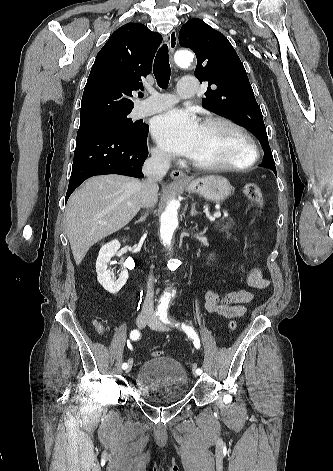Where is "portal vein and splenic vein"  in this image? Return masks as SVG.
Instances as JSON below:
<instances>
[{
	"instance_id": "portal-vein-and-splenic-vein-1",
	"label": "portal vein and splenic vein",
	"mask_w": 333,
	"mask_h": 471,
	"mask_svg": "<svg viewBox=\"0 0 333 471\" xmlns=\"http://www.w3.org/2000/svg\"><path fill=\"white\" fill-rule=\"evenodd\" d=\"M219 217H221V212H216L213 214V216L209 217V220L213 221L215 220V218H219Z\"/></svg>"
}]
</instances>
